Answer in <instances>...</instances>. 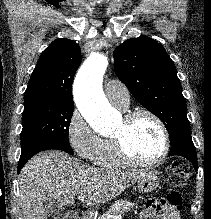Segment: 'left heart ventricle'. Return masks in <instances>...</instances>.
I'll return each mask as SVG.
<instances>
[{
    "instance_id": "obj_1",
    "label": "left heart ventricle",
    "mask_w": 211,
    "mask_h": 219,
    "mask_svg": "<svg viewBox=\"0 0 211 219\" xmlns=\"http://www.w3.org/2000/svg\"><path fill=\"white\" fill-rule=\"evenodd\" d=\"M124 120L113 136L122 134L126 147L136 159L150 161L158 157L162 150L163 138L158 125L147 116L138 117L126 130Z\"/></svg>"
}]
</instances>
